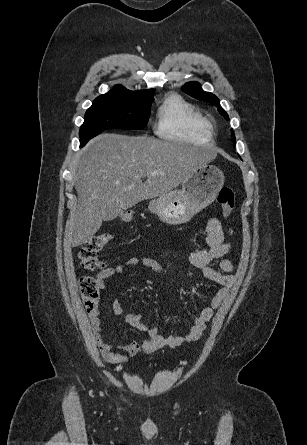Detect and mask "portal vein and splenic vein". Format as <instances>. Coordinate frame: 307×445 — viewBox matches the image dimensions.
<instances>
[{
    "mask_svg": "<svg viewBox=\"0 0 307 445\" xmlns=\"http://www.w3.org/2000/svg\"><path fill=\"white\" fill-rule=\"evenodd\" d=\"M149 174H164L161 170H155V172H149Z\"/></svg>",
    "mask_w": 307,
    "mask_h": 445,
    "instance_id": "portal-vein-and-splenic-vein-1",
    "label": "portal vein and splenic vein"
}]
</instances>
